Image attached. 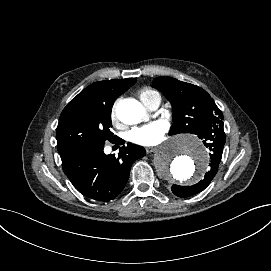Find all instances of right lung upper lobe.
I'll return each mask as SVG.
<instances>
[{
	"label": "right lung upper lobe",
	"mask_w": 271,
	"mask_h": 271,
	"mask_svg": "<svg viewBox=\"0 0 271 271\" xmlns=\"http://www.w3.org/2000/svg\"><path fill=\"white\" fill-rule=\"evenodd\" d=\"M135 78H127V79H114V80H106V81H100V82H95L91 85H89L87 88H85L83 91H87L99 86H104V85H110V84H126V83H130L134 80Z\"/></svg>",
	"instance_id": "obj_1"
}]
</instances>
